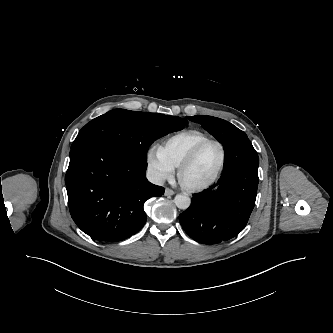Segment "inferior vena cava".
<instances>
[{
  "label": "inferior vena cava",
  "instance_id": "602c4592",
  "mask_svg": "<svg viewBox=\"0 0 333 333\" xmlns=\"http://www.w3.org/2000/svg\"><path fill=\"white\" fill-rule=\"evenodd\" d=\"M146 177H147L149 182H151L155 185H163L164 184V178L156 170L148 169L147 173H146Z\"/></svg>",
  "mask_w": 333,
  "mask_h": 333
}]
</instances>
